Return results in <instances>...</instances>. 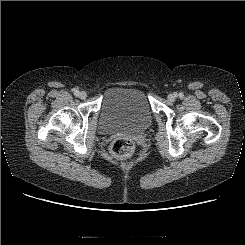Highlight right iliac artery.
I'll return each instance as SVG.
<instances>
[{"mask_svg": "<svg viewBox=\"0 0 245 245\" xmlns=\"http://www.w3.org/2000/svg\"><path fill=\"white\" fill-rule=\"evenodd\" d=\"M73 93H74V95L77 96L79 94V90L75 88V89H73Z\"/></svg>", "mask_w": 245, "mask_h": 245, "instance_id": "1", "label": "right iliac artery"}]
</instances>
